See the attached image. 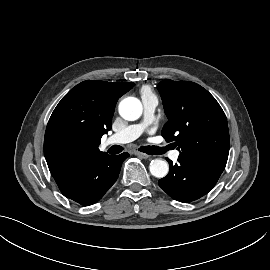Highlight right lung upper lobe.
Instances as JSON below:
<instances>
[{
    "label": "right lung upper lobe",
    "instance_id": "cb5924a9",
    "mask_svg": "<svg viewBox=\"0 0 270 270\" xmlns=\"http://www.w3.org/2000/svg\"><path fill=\"white\" fill-rule=\"evenodd\" d=\"M133 86L134 83L87 80L61 99L44 137L50 172L105 153L98 149L101 137L111 129L117 100Z\"/></svg>",
    "mask_w": 270,
    "mask_h": 270
}]
</instances>
